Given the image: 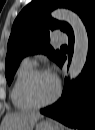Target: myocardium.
I'll return each instance as SVG.
<instances>
[{"mask_svg":"<svg viewBox=\"0 0 95 130\" xmlns=\"http://www.w3.org/2000/svg\"><path fill=\"white\" fill-rule=\"evenodd\" d=\"M41 73H49V72L44 69H41V68H35L28 74V76L26 77L24 84H23V96H24L26 102L34 108H42V107L51 105L59 98V96L61 94V83L55 77L57 90H56L55 95L51 99H49L45 102H38L33 98L32 94H31V85H32L34 78Z\"/></svg>","mask_w":95,"mask_h":130,"instance_id":"obj_1","label":"myocardium"}]
</instances>
